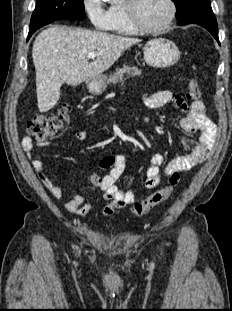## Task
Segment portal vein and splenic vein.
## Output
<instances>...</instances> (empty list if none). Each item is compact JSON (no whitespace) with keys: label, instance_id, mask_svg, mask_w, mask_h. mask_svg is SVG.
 <instances>
[{"label":"portal vein and splenic vein","instance_id":"portal-vein-and-splenic-vein-1","mask_svg":"<svg viewBox=\"0 0 232 311\" xmlns=\"http://www.w3.org/2000/svg\"><path fill=\"white\" fill-rule=\"evenodd\" d=\"M96 56H97L96 52H89L87 55L88 59H94Z\"/></svg>","mask_w":232,"mask_h":311}]
</instances>
